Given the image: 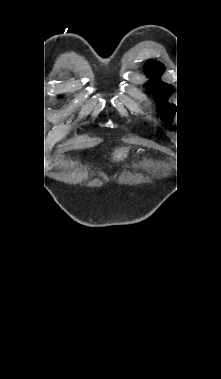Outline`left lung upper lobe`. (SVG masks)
<instances>
[{
    "label": "left lung upper lobe",
    "mask_w": 221,
    "mask_h": 379,
    "mask_svg": "<svg viewBox=\"0 0 221 379\" xmlns=\"http://www.w3.org/2000/svg\"><path fill=\"white\" fill-rule=\"evenodd\" d=\"M144 71L148 76L157 78L155 82L151 81L148 83L147 91L153 94L157 102V110L161 119L165 123L171 124L173 122L175 106L166 101L173 93L174 89L171 85L158 80L161 73L164 71L163 65L156 61H149L146 63Z\"/></svg>",
    "instance_id": "obj_1"
}]
</instances>
